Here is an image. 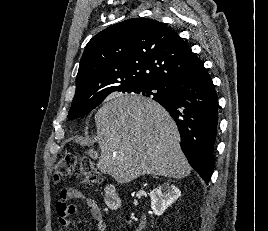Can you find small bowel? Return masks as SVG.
<instances>
[{"instance_id":"small-bowel-1","label":"small bowel","mask_w":268,"mask_h":231,"mask_svg":"<svg viewBox=\"0 0 268 231\" xmlns=\"http://www.w3.org/2000/svg\"><path fill=\"white\" fill-rule=\"evenodd\" d=\"M74 201H82L89 209L90 215L96 223V231H105V223L97 202L74 187L62 189L57 197L56 215L60 227L65 229L75 227L73 215L78 211V206L73 203Z\"/></svg>"}]
</instances>
